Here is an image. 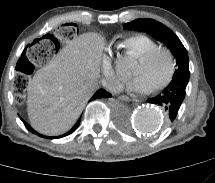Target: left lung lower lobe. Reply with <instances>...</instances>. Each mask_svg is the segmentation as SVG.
<instances>
[{"instance_id": "0a47b994", "label": "left lung lower lobe", "mask_w": 215, "mask_h": 183, "mask_svg": "<svg viewBox=\"0 0 215 183\" xmlns=\"http://www.w3.org/2000/svg\"><path fill=\"white\" fill-rule=\"evenodd\" d=\"M188 79L175 78L157 96L150 98L147 102L156 104L165 109L168 121H174L179 108L185 98Z\"/></svg>"}]
</instances>
